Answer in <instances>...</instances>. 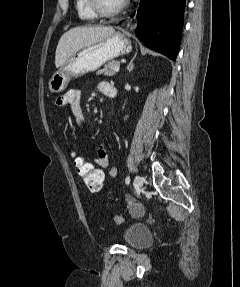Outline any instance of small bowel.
Masks as SVG:
<instances>
[{
	"label": "small bowel",
	"instance_id": "small-bowel-1",
	"mask_svg": "<svg viewBox=\"0 0 240 287\" xmlns=\"http://www.w3.org/2000/svg\"><path fill=\"white\" fill-rule=\"evenodd\" d=\"M98 89L105 96H109V93L112 89H114V87L109 82L103 81L98 84ZM56 105L59 108L69 107L77 125L81 129H84V114L82 109V95L80 90H68L66 93L60 95L57 98ZM94 163L101 170L109 168V176L111 179H114L117 176V168L115 166H110V159L108 157L105 144H101L98 147L97 155L94 157ZM125 200L132 214L139 215L143 213L144 206L135 200L132 196L126 195Z\"/></svg>",
	"mask_w": 240,
	"mask_h": 287
}]
</instances>
